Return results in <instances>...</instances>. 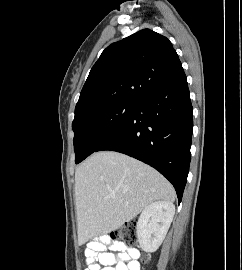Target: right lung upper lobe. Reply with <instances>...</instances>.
<instances>
[{
    "instance_id": "obj_1",
    "label": "right lung upper lobe",
    "mask_w": 242,
    "mask_h": 270,
    "mask_svg": "<svg viewBox=\"0 0 242 270\" xmlns=\"http://www.w3.org/2000/svg\"><path fill=\"white\" fill-rule=\"evenodd\" d=\"M181 69L168 38L140 30L102 52L80 93L75 116L113 101H137Z\"/></svg>"
}]
</instances>
